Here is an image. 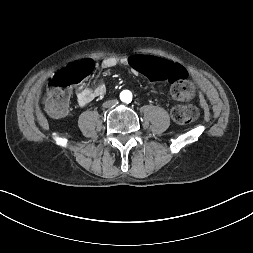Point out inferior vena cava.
<instances>
[{"instance_id": "inferior-vena-cava-1", "label": "inferior vena cava", "mask_w": 253, "mask_h": 253, "mask_svg": "<svg viewBox=\"0 0 253 253\" xmlns=\"http://www.w3.org/2000/svg\"><path fill=\"white\" fill-rule=\"evenodd\" d=\"M118 103L117 99H112V100H108L106 102L103 103V107L108 108V107H113Z\"/></svg>"}]
</instances>
